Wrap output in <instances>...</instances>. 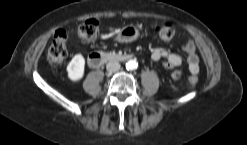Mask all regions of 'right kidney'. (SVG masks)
Listing matches in <instances>:
<instances>
[{"mask_svg":"<svg viewBox=\"0 0 247 145\" xmlns=\"http://www.w3.org/2000/svg\"><path fill=\"white\" fill-rule=\"evenodd\" d=\"M85 59L81 54H76L67 66L68 78L77 82L84 76Z\"/></svg>","mask_w":247,"mask_h":145,"instance_id":"1","label":"right kidney"}]
</instances>
